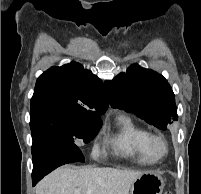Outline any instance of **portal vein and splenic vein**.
<instances>
[{
	"instance_id": "portal-vein-and-splenic-vein-1",
	"label": "portal vein and splenic vein",
	"mask_w": 201,
	"mask_h": 194,
	"mask_svg": "<svg viewBox=\"0 0 201 194\" xmlns=\"http://www.w3.org/2000/svg\"><path fill=\"white\" fill-rule=\"evenodd\" d=\"M81 193V188H77L76 190H75V193L74 194H80Z\"/></svg>"
}]
</instances>
